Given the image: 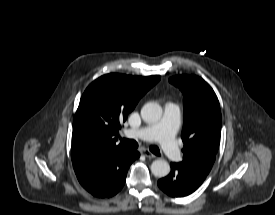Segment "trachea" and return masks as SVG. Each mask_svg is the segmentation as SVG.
<instances>
[{
	"label": "trachea",
	"mask_w": 275,
	"mask_h": 215,
	"mask_svg": "<svg viewBox=\"0 0 275 215\" xmlns=\"http://www.w3.org/2000/svg\"><path fill=\"white\" fill-rule=\"evenodd\" d=\"M120 141L128 148L130 149H137L138 148V143L135 140L131 139H125V138H120ZM150 151L159 156L160 155V150L157 146H150Z\"/></svg>",
	"instance_id": "obj_1"
}]
</instances>
